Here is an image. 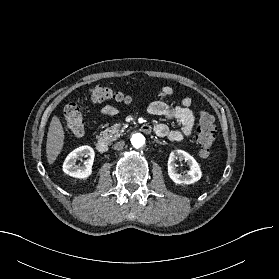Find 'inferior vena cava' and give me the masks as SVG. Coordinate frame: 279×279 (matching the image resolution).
Returning a JSON list of instances; mask_svg holds the SVG:
<instances>
[{"mask_svg":"<svg viewBox=\"0 0 279 279\" xmlns=\"http://www.w3.org/2000/svg\"><path fill=\"white\" fill-rule=\"evenodd\" d=\"M124 145H125L124 141H119L116 144H114L113 147H114L115 150H122Z\"/></svg>","mask_w":279,"mask_h":279,"instance_id":"602c4592","label":"inferior vena cava"}]
</instances>
